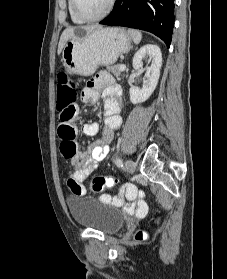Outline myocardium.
Returning a JSON list of instances; mask_svg holds the SVG:
<instances>
[{"mask_svg": "<svg viewBox=\"0 0 227 279\" xmlns=\"http://www.w3.org/2000/svg\"><path fill=\"white\" fill-rule=\"evenodd\" d=\"M115 1L116 0H109L106 9L101 14H99L95 17H86V16L82 15L80 13V11L78 10L77 0H71L72 9H73L74 14L76 15V17H78L83 22H95V21H98V20H101V19L107 17L111 13V11L113 10L114 5H115Z\"/></svg>", "mask_w": 227, "mask_h": 279, "instance_id": "obj_1", "label": "myocardium"}]
</instances>
